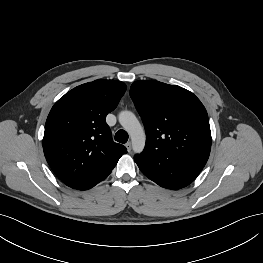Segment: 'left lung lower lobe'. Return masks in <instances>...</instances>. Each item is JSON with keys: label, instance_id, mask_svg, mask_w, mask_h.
<instances>
[{"label": "left lung lower lobe", "instance_id": "left-lung-lower-lobe-1", "mask_svg": "<svg viewBox=\"0 0 263 263\" xmlns=\"http://www.w3.org/2000/svg\"><path fill=\"white\" fill-rule=\"evenodd\" d=\"M141 172L158 185L177 190L189 185L200 173V170L171 159H152L135 155Z\"/></svg>", "mask_w": 263, "mask_h": 263}]
</instances>
